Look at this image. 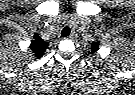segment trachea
Instances as JSON below:
<instances>
[{"instance_id":"trachea-1","label":"trachea","mask_w":135,"mask_h":95,"mask_svg":"<svg viewBox=\"0 0 135 95\" xmlns=\"http://www.w3.org/2000/svg\"><path fill=\"white\" fill-rule=\"evenodd\" d=\"M70 32H71V29L69 27H65L63 28V30L61 31V35L63 37H66V36H69L70 35Z\"/></svg>"}]
</instances>
